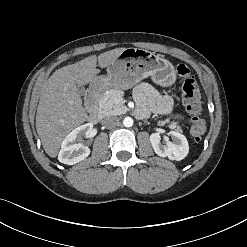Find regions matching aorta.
<instances>
[{"mask_svg":"<svg viewBox=\"0 0 247 247\" xmlns=\"http://www.w3.org/2000/svg\"><path fill=\"white\" fill-rule=\"evenodd\" d=\"M123 125L125 127H131L133 125V119L131 117H125L123 120Z\"/></svg>","mask_w":247,"mask_h":247,"instance_id":"aorta-1","label":"aorta"}]
</instances>
